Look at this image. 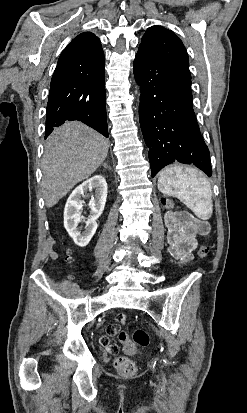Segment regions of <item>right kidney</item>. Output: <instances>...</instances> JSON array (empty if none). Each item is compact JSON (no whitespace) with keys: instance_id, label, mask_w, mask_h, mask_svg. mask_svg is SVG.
<instances>
[{"instance_id":"right-kidney-1","label":"right kidney","mask_w":247,"mask_h":413,"mask_svg":"<svg viewBox=\"0 0 247 413\" xmlns=\"http://www.w3.org/2000/svg\"><path fill=\"white\" fill-rule=\"evenodd\" d=\"M92 188H95V198H91L90 202H88L91 215H89L90 219L83 221V223H86V227L85 231L81 233L78 227L82 221L79 211L84 207V200H81V198L87 190H92ZM107 192V182L101 174L91 176V178L84 180L82 184H79V186H76V188L72 190L65 204L64 227L78 247H86L89 241H91L98 227L96 221L104 211Z\"/></svg>"}]
</instances>
